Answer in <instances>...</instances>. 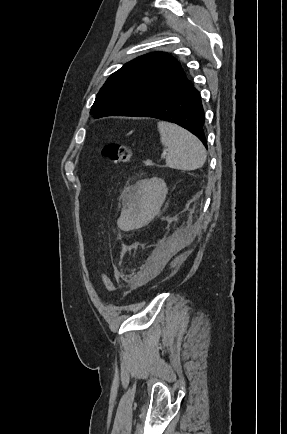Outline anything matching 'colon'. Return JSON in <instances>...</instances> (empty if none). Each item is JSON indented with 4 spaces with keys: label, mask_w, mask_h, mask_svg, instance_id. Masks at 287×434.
Returning a JSON list of instances; mask_svg holds the SVG:
<instances>
[{
    "label": "colon",
    "mask_w": 287,
    "mask_h": 434,
    "mask_svg": "<svg viewBox=\"0 0 287 434\" xmlns=\"http://www.w3.org/2000/svg\"><path fill=\"white\" fill-rule=\"evenodd\" d=\"M103 154L109 159L121 163H129L132 158L131 149L123 144L110 143L103 149ZM102 284L105 291L112 293L115 289L114 282L108 273H104L102 276Z\"/></svg>",
    "instance_id": "5ec220e1"
}]
</instances>
